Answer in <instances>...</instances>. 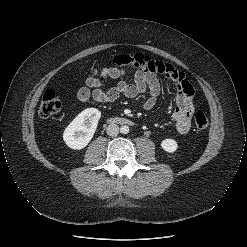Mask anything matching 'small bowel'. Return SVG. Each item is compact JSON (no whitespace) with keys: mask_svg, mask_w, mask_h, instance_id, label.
I'll list each match as a JSON object with an SVG mask.
<instances>
[{"mask_svg":"<svg viewBox=\"0 0 247 247\" xmlns=\"http://www.w3.org/2000/svg\"><path fill=\"white\" fill-rule=\"evenodd\" d=\"M127 74L132 76L133 83L122 80ZM158 75L165 76L176 85V107L172 120L178 133L187 134L191 128V117L195 109L192 85L181 71L146 54L116 56L111 67L103 68L97 76L86 79V87L79 90L77 97L82 103L91 98L99 103H111L120 96L134 98L148 94L142 106L145 110H150L156 105L161 92ZM109 79L119 81L108 90H103L105 82Z\"/></svg>","mask_w":247,"mask_h":247,"instance_id":"obj_1","label":"small bowel"}]
</instances>
